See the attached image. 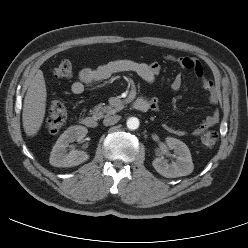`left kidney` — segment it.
I'll use <instances>...</instances> for the list:
<instances>
[{"label":"left kidney","mask_w":248,"mask_h":248,"mask_svg":"<svg viewBox=\"0 0 248 248\" xmlns=\"http://www.w3.org/2000/svg\"><path fill=\"white\" fill-rule=\"evenodd\" d=\"M166 144L170 149L174 150L176 160L168 163L164 158H156L152 163L155 170L167 178L186 176L192 173L194 165L187 145L172 137L166 138Z\"/></svg>","instance_id":"obj_1"}]
</instances>
